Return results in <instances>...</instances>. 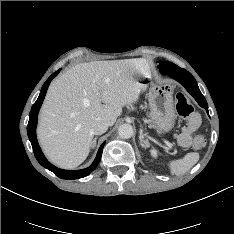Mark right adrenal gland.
<instances>
[{
	"mask_svg": "<svg viewBox=\"0 0 234 234\" xmlns=\"http://www.w3.org/2000/svg\"><path fill=\"white\" fill-rule=\"evenodd\" d=\"M96 140H97V137H95L93 141L91 142V147H94V145L96 144Z\"/></svg>",
	"mask_w": 234,
	"mask_h": 234,
	"instance_id": "right-adrenal-gland-1",
	"label": "right adrenal gland"
}]
</instances>
